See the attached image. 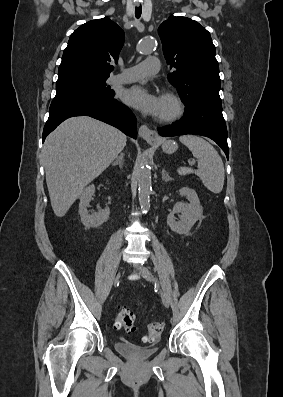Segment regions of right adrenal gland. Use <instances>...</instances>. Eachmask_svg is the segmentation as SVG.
Segmentation results:
<instances>
[{
	"instance_id": "2a0ac1e0",
	"label": "right adrenal gland",
	"mask_w": 283,
	"mask_h": 397,
	"mask_svg": "<svg viewBox=\"0 0 283 397\" xmlns=\"http://www.w3.org/2000/svg\"><path fill=\"white\" fill-rule=\"evenodd\" d=\"M123 158L124 154L120 153V155L116 158L115 162L112 163V166L119 165L120 168L123 167Z\"/></svg>"
}]
</instances>
